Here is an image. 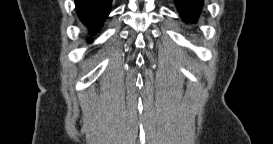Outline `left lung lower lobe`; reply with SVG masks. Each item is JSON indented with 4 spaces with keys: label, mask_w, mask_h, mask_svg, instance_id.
I'll return each mask as SVG.
<instances>
[{
    "label": "left lung lower lobe",
    "mask_w": 273,
    "mask_h": 144,
    "mask_svg": "<svg viewBox=\"0 0 273 144\" xmlns=\"http://www.w3.org/2000/svg\"><path fill=\"white\" fill-rule=\"evenodd\" d=\"M180 16L187 22L197 21L203 7V0H174Z\"/></svg>",
    "instance_id": "0a47b994"
}]
</instances>
